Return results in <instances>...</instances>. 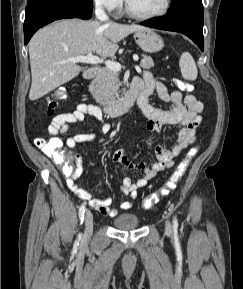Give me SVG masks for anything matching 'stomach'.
<instances>
[{
    "mask_svg": "<svg viewBox=\"0 0 243 289\" xmlns=\"http://www.w3.org/2000/svg\"><path fill=\"white\" fill-rule=\"evenodd\" d=\"M136 43L146 52L154 53L164 47L163 39L153 30L145 28L134 33Z\"/></svg>",
    "mask_w": 243,
    "mask_h": 289,
    "instance_id": "obj_1",
    "label": "stomach"
}]
</instances>
